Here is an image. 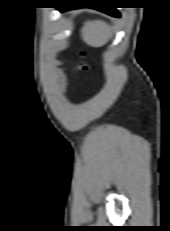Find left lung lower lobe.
I'll return each instance as SVG.
<instances>
[{
    "instance_id": "1",
    "label": "left lung lower lobe",
    "mask_w": 170,
    "mask_h": 231,
    "mask_svg": "<svg viewBox=\"0 0 170 231\" xmlns=\"http://www.w3.org/2000/svg\"><path fill=\"white\" fill-rule=\"evenodd\" d=\"M77 7H63L59 8L60 10H69V9H76ZM94 9L100 10L104 13H107L109 15L115 16V17H120L119 13L117 10L113 7H94Z\"/></svg>"
}]
</instances>
